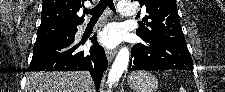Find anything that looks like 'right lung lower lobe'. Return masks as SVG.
Returning <instances> with one entry per match:
<instances>
[{"instance_id": "right-lung-lower-lobe-1", "label": "right lung lower lobe", "mask_w": 225, "mask_h": 92, "mask_svg": "<svg viewBox=\"0 0 225 92\" xmlns=\"http://www.w3.org/2000/svg\"><path fill=\"white\" fill-rule=\"evenodd\" d=\"M77 32V31H76ZM74 37L66 40L34 46L28 71H77L90 72L98 91L108 61L104 49L98 44L96 35L91 37L94 45L90 50L78 51Z\"/></svg>"}]
</instances>
